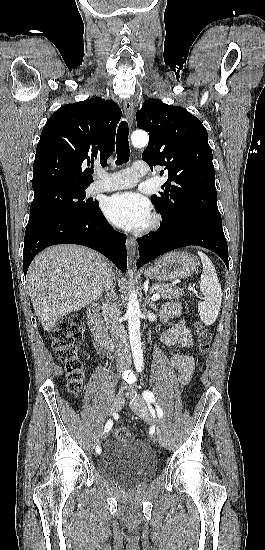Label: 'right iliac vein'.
Masks as SVG:
<instances>
[{
  "label": "right iliac vein",
  "instance_id": "63e3f726",
  "mask_svg": "<svg viewBox=\"0 0 265 550\" xmlns=\"http://www.w3.org/2000/svg\"><path fill=\"white\" fill-rule=\"evenodd\" d=\"M123 405H124V398H123L122 392L120 391L115 396V398L113 399V402H112V405H111V412L116 413V412L120 411L122 409Z\"/></svg>",
  "mask_w": 265,
  "mask_h": 550
}]
</instances>
